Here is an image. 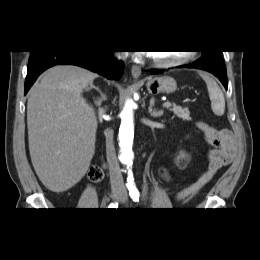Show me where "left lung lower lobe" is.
<instances>
[{"label": "left lung lower lobe", "mask_w": 260, "mask_h": 260, "mask_svg": "<svg viewBox=\"0 0 260 260\" xmlns=\"http://www.w3.org/2000/svg\"><path fill=\"white\" fill-rule=\"evenodd\" d=\"M182 68H195L208 71L215 75L224 85L225 89L227 90V73L226 67L223 62L222 57L220 54L216 53H205L202 57L188 65L180 66ZM163 70H151L152 74H160L163 73Z\"/></svg>", "instance_id": "0a47b994"}]
</instances>
